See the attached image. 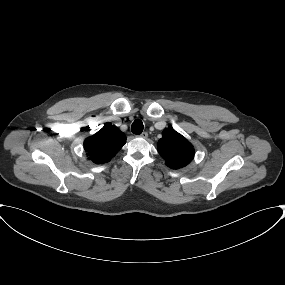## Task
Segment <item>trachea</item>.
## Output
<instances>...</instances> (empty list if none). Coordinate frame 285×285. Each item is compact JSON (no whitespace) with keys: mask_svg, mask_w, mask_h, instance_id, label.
Returning <instances> with one entry per match:
<instances>
[{"mask_svg":"<svg viewBox=\"0 0 285 285\" xmlns=\"http://www.w3.org/2000/svg\"><path fill=\"white\" fill-rule=\"evenodd\" d=\"M143 128H144L143 122L141 120L137 119L132 123L131 131H132V133L138 135V134L142 133Z\"/></svg>","mask_w":285,"mask_h":285,"instance_id":"obj_1","label":"trachea"}]
</instances>
